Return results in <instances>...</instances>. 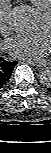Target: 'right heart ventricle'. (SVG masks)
Listing matches in <instances>:
<instances>
[{
	"label": "right heart ventricle",
	"mask_w": 51,
	"mask_h": 153,
	"mask_svg": "<svg viewBox=\"0 0 51 153\" xmlns=\"http://www.w3.org/2000/svg\"><path fill=\"white\" fill-rule=\"evenodd\" d=\"M40 12L48 11L51 8V0H29Z\"/></svg>",
	"instance_id": "e07e8e85"
}]
</instances>
